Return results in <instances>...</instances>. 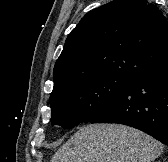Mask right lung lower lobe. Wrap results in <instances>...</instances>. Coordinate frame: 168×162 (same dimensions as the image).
<instances>
[{"label": "right lung lower lobe", "instance_id": "right-lung-lower-lobe-1", "mask_svg": "<svg viewBox=\"0 0 168 162\" xmlns=\"http://www.w3.org/2000/svg\"><path fill=\"white\" fill-rule=\"evenodd\" d=\"M90 123H119L168 145V63L132 78Z\"/></svg>", "mask_w": 168, "mask_h": 162}]
</instances>
